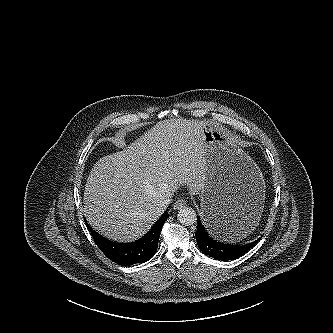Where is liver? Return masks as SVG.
Listing matches in <instances>:
<instances>
[{"label": "liver", "instance_id": "1", "mask_svg": "<svg viewBox=\"0 0 333 333\" xmlns=\"http://www.w3.org/2000/svg\"><path fill=\"white\" fill-rule=\"evenodd\" d=\"M205 123L160 121L122 151L98 160L83 197L88 223L109 239L134 241L162 215L158 202L166 194L184 185L199 194L206 180Z\"/></svg>", "mask_w": 333, "mask_h": 333}]
</instances>
